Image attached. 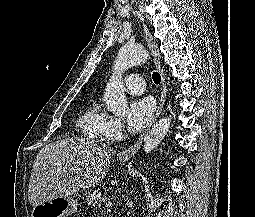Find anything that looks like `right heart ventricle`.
<instances>
[{
    "label": "right heart ventricle",
    "mask_w": 255,
    "mask_h": 217,
    "mask_svg": "<svg viewBox=\"0 0 255 217\" xmlns=\"http://www.w3.org/2000/svg\"><path fill=\"white\" fill-rule=\"evenodd\" d=\"M109 115L101 108L97 101H93L80 115L77 125L88 138L102 141L108 136L106 126Z\"/></svg>",
    "instance_id": "right-heart-ventricle-1"
}]
</instances>
